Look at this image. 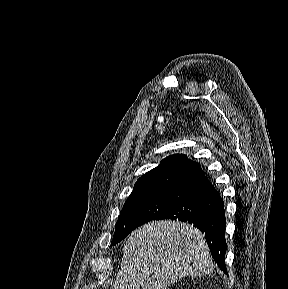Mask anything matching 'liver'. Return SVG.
<instances>
[{
    "label": "liver",
    "instance_id": "1",
    "mask_svg": "<svg viewBox=\"0 0 288 289\" xmlns=\"http://www.w3.org/2000/svg\"><path fill=\"white\" fill-rule=\"evenodd\" d=\"M213 270L209 247L198 229L179 221H151L128 236L111 289H166L184 276Z\"/></svg>",
    "mask_w": 288,
    "mask_h": 289
}]
</instances>
